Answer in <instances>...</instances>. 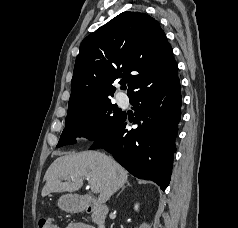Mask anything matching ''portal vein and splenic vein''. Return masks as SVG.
<instances>
[{
  "label": "portal vein and splenic vein",
  "instance_id": "18ae733b",
  "mask_svg": "<svg viewBox=\"0 0 238 228\" xmlns=\"http://www.w3.org/2000/svg\"><path fill=\"white\" fill-rule=\"evenodd\" d=\"M91 191L95 194L98 193V189L96 187L92 186V185H91Z\"/></svg>",
  "mask_w": 238,
  "mask_h": 228
}]
</instances>
